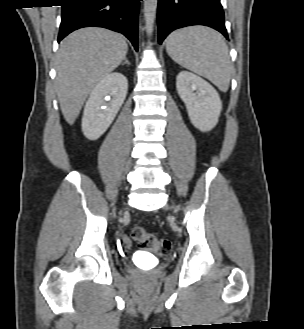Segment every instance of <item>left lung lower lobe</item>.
<instances>
[{
    "label": "left lung lower lobe",
    "instance_id": "1",
    "mask_svg": "<svg viewBox=\"0 0 304 329\" xmlns=\"http://www.w3.org/2000/svg\"><path fill=\"white\" fill-rule=\"evenodd\" d=\"M205 25L228 39L220 0H158V40L161 44L175 29Z\"/></svg>",
    "mask_w": 304,
    "mask_h": 329
}]
</instances>
